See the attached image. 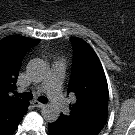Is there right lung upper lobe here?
I'll list each match as a JSON object with an SVG mask.
<instances>
[{
  "mask_svg": "<svg viewBox=\"0 0 135 135\" xmlns=\"http://www.w3.org/2000/svg\"><path fill=\"white\" fill-rule=\"evenodd\" d=\"M40 41L22 36H8L0 41V131L9 130L27 112L26 100L10 96L26 52Z\"/></svg>",
  "mask_w": 135,
  "mask_h": 135,
  "instance_id": "obj_1",
  "label": "right lung upper lobe"
}]
</instances>
